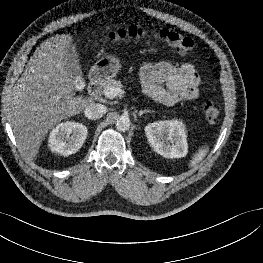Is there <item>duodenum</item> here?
Wrapping results in <instances>:
<instances>
[{
	"label": "duodenum",
	"mask_w": 263,
	"mask_h": 263,
	"mask_svg": "<svg viewBox=\"0 0 263 263\" xmlns=\"http://www.w3.org/2000/svg\"><path fill=\"white\" fill-rule=\"evenodd\" d=\"M100 88H101L100 82L97 80H93L88 85V94L91 97H94L98 94V92L100 91Z\"/></svg>",
	"instance_id": "obj_1"
}]
</instances>
